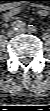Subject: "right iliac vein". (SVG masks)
I'll return each instance as SVG.
<instances>
[{
  "label": "right iliac vein",
  "mask_w": 50,
  "mask_h": 111,
  "mask_svg": "<svg viewBox=\"0 0 50 111\" xmlns=\"http://www.w3.org/2000/svg\"><path fill=\"white\" fill-rule=\"evenodd\" d=\"M15 34H16V31L13 29V30L8 31L7 36L8 37H13Z\"/></svg>",
  "instance_id": "right-iliac-vein-1"
}]
</instances>
